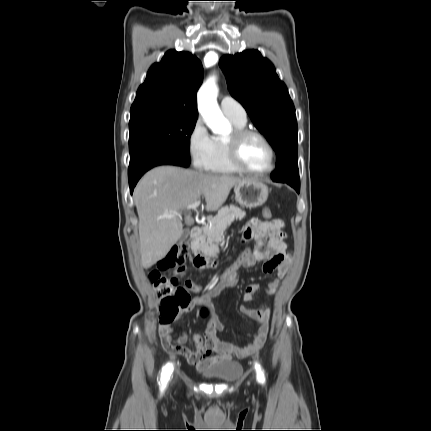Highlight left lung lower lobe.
<instances>
[{"label": "left lung lower lobe", "instance_id": "1", "mask_svg": "<svg viewBox=\"0 0 431 431\" xmlns=\"http://www.w3.org/2000/svg\"><path fill=\"white\" fill-rule=\"evenodd\" d=\"M278 182H284L292 186L298 193L300 191V181L298 182H286V181H278Z\"/></svg>", "mask_w": 431, "mask_h": 431}]
</instances>
